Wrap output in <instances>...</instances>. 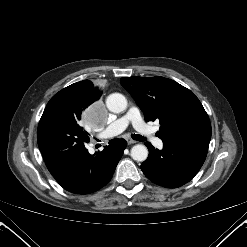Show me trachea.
<instances>
[{"label":"trachea","mask_w":247,"mask_h":247,"mask_svg":"<svg viewBox=\"0 0 247 247\" xmlns=\"http://www.w3.org/2000/svg\"><path fill=\"white\" fill-rule=\"evenodd\" d=\"M132 138L136 141H145V138L139 134H133Z\"/></svg>","instance_id":"1"}]
</instances>
